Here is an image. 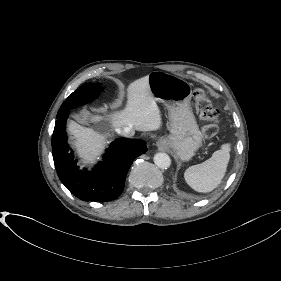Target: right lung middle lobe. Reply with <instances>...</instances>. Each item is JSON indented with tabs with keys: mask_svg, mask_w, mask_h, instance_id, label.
<instances>
[{
	"mask_svg": "<svg viewBox=\"0 0 281 281\" xmlns=\"http://www.w3.org/2000/svg\"><path fill=\"white\" fill-rule=\"evenodd\" d=\"M102 91L100 84L87 83L74 91L60 107L57 118L68 112L70 109L79 105H84L95 99L97 94Z\"/></svg>",
	"mask_w": 281,
	"mask_h": 281,
	"instance_id": "1",
	"label": "right lung middle lobe"
}]
</instances>
